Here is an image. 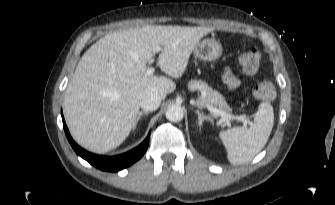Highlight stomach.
<instances>
[{
	"instance_id": "stomach-1",
	"label": "stomach",
	"mask_w": 335,
	"mask_h": 205,
	"mask_svg": "<svg viewBox=\"0 0 335 205\" xmlns=\"http://www.w3.org/2000/svg\"><path fill=\"white\" fill-rule=\"evenodd\" d=\"M222 52L221 43L214 38L200 41L193 51L195 58L203 61H215L221 57Z\"/></svg>"
}]
</instances>
